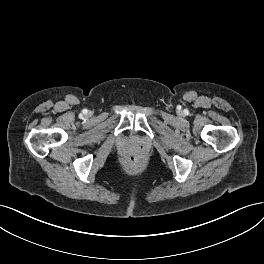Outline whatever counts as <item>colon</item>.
Returning <instances> with one entry per match:
<instances>
[{
  "label": "colon",
  "mask_w": 264,
  "mask_h": 264,
  "mask_svg": "<svg viewBox=\"0 0 264 264\" xmlns=\"http://www.w3.org/2000/svg\"><path fill=\"white\" fill-rule=\"evenodd\" d=\"M125 160L131 166H137L141 162L140 157L137 156V155H135V154H128V155H126Z\"/></svg>",
  "instance_id": "5ec220e1"
}]
</instances>
